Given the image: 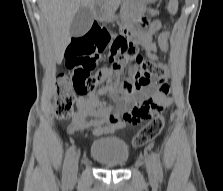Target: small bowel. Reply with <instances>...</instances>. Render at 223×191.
Returning <instances> with one entry per match:
<instances>
[{"label": "small bowel", "mask_w": 223, "mask_h": 191, "mask_svg": "<svg viewBox=\"0 0 223 191\" xmlns=\"http://www.w3.org/2000/svg\"><path fill=\"white\" fill-rule=\"evenodd\" d=\"M93 27L102 28L99 25ZM159 29L160 22L153 20L146 22L143 31L135 32L123 27L122 32L133 37L146 54L157 61L153 36ZM164 79L155 78L149 85L132 89L127 87L133 83L131 79L125 80L122 84L113 80L107 85L98 86L86 96L78 97V110L67 127V132L75 134L91 129L95 136H102L122 130L127 123L138 124L147 120L155 108L171 103L168 96L169 85ZM105 95H109L113 103L104 101L102 98Z\"/></svg>", "instance_id": "obj_1"}]
</instances>
